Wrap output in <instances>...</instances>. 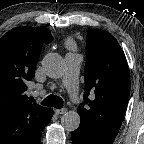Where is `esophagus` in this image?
<instances>
[{
  "label": "esophagus",
  "instance_id": "esophagus-1",
  "mask_svg": "<svg viewBox=\"0 0 144 144\" xmlns=\"http://www.w3.org/2000/svg\"><path fill=\"white\" fill-rule=\"evenodd\" d=\"M66 112H67V109H66V108L56 109V110H55V113H56V114H59V115L65 114Z\"/></svg>",
  "mask_w": 144,
  "mask_h": 144
}]
</instances>
